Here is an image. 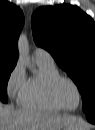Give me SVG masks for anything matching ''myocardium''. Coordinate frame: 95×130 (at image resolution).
I'll return each instance as SVG.
<instances>
[{"instance_id":"1","label":"myocardium","mask_w":95,"mask_h":130,"mask_svg":"<svg viewBox=\"0 0 95 130\" xmlns=\"http://www.w3.org/2000/svg\"><path fill=\"white\" fill-rule=\"evenodd\" d=\"M62 82H68V83L72 84L78 91L79 104L76 108H73V109L68 108L60 100V98L58 96V87ZM49 94H50L51 99L54 101V103H56L62 110H65L68 112H74V111L78 110L83 104L84 98H83V92H82L81 87L77 84L76 81H74L72 78L67 77V76L59 75V76L55 77L54 79H52L49 83Z\"/></svg>"}]
</instances>
